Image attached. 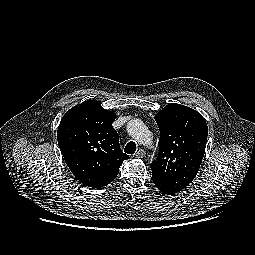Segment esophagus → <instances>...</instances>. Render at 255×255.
<instances>
[{
    "instance_id": "esophagus-1",
    "label": "esophagus",
    "mask_w": 255,
    "mask_h": 255,
    "mask_svg": "<svg viewBox=\"0 0 255 255\" xmlns=\"http://www.w3.org/2000/svg\"><path fill=\"white\" fill-rule=\"evenodd\" d=\"M145 156V151L143 149H139L136 153H135V157L136 158H143Z\"/></svg>"
}]
</instances>
